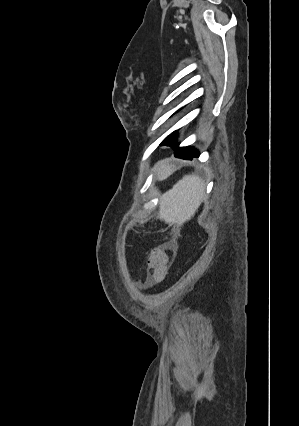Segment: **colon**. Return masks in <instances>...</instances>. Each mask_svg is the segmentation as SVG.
I'll use <instances>...</instances> for the list:
<instances>
[{"label": "colon", "instance_id": "1", "mask_svg": "<svg viewBox=\"0 0 299 426\" xmlns=\"http://www.w3.org/2000/svg\"><path fill=\"white\" fill-rule=\"evenodd\" d=\"M167 246L165 244L156 246L150 250L149 265V281L155 285L161 283L168 272V255Z\"/></svg>", "mask_w": 299, "mask_h": 426}]
</instances>
